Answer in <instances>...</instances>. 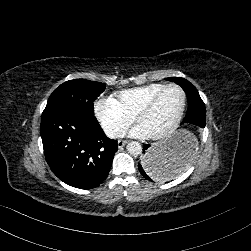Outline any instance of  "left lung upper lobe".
Listing matches in <instances>:
<instances>
[{
  "instance_id": "1",
  "label": "left lung upper lobe",
  "mask_w": 251,
  "mask_h": 251,
  "mask_svg": "<svg viewBox=\"0 0 251 251\" xmlns=\"http://www.w3.org/2000/svg\"><path fill=\"white\" fill-rule=\"evenodd\" d=\"M166 80L179 84L185 91L187 99H194L196 101L203 102L199 93L197 92V89L188 80L176 77L166 78Z\"/></svg>"
}]
</instances>
